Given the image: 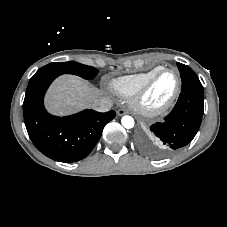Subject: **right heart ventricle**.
Masks as SVG:
<instances>
[{
	"mask_svg": "<svg viewBox=\"0 0 227 227\" xmlns=\"http://www.w3.org/2000/svg\"><path fill=\"white\" fill-rule=\"evenodd\" d=\"M160 68L161 66H157L148 71L112 79L108 84L109 89L118 96L130 97L134 95L135 92L143 85V83Z\"/></svg>",
	"mask_w": 227,
	"mask_h": 227,
	"instance_id": "1",
	"label": "right heart ventricle"
}]
</instances>
